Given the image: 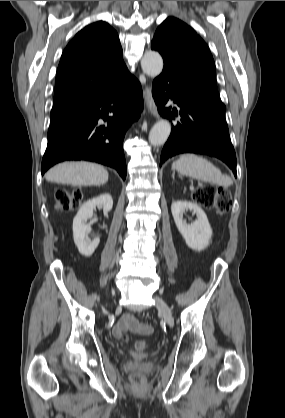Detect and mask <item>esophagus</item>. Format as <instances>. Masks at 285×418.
I'll return each mask as SVG.
<instances>
[{
	"label": "esophagus",
	"mask_w": 285,
	"mask_h": 418,
	"mask_svg": "<svg viewBox=\"0 0 285 418\" xmlns=\"http://www.w3.org/2000/svg\"><path fill=\"white\" fill-rule=\"evenodd\" d=\"M144 96H145V101H146L149 112L153 116L158 117L157 108L153 101V98H152V95L148 86H146L144 89Z\"/></svg>",
	"instance_id": "esophagus-1"
}]
</instances>
